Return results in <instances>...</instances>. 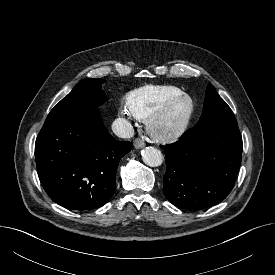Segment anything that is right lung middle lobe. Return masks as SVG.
I'll list each match as a JSON object with an SVG mask.
<instances>
[{"label": "right lung middle lobe", "mask_w": 275, "mask_h": 275, "mask_svg": "<svg viewBox=\"0 0 275 275\" xmlns=\"http://www.w3.org/2000/svg\"><path fill=\"white\" fill-rule=\"evenodd\" d=\"M103 79L87 78L80 81L48 114L45 125L66 122L86 117L99 111L106 100L101 89Z\"/></svg>", "instance_id": "obj_1"}]
</instances>
